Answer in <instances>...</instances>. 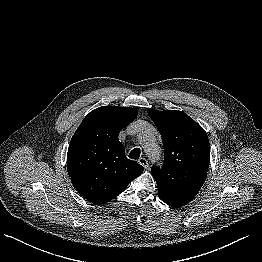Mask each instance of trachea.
I'll return each instance as SVG.
<instances>
[{
  "instance_id": "trachea-1",
  "label": "trachea",
  "mask_w": 262,
  "mask_h": 262,
  "mask_svg": "<svg viewBox=\"0 0 262 262\" xmlns=\"http://www.w3.org/2000/svg\"><path fill=\"white\" fill-rule=\"evenodd\" d=\"M140 153H141V151H140L139 148H134L129 153V158L136 160V159H138L140 157Z\"/></svg>"
}]
</instances>
